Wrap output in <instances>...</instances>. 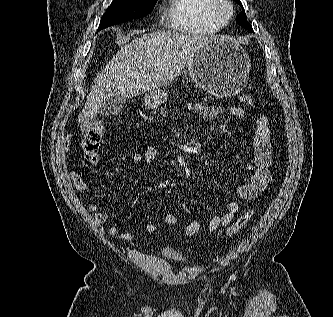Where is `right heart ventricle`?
<instances>
[{
	"label": "right heart ventricle",
	"instance_id": "obj_1",
	"mask_svg": "<svg viewBox=\"0 0 333 317\" xmlns=\"http://www.w3.org/2000/svg\"><path fill=\"white\" fill-rule=\"evenodd\" d=\"M212 0H169L164 18L169 29L188 35H210L226 23L216 19L211 11Z\"/></svg>",
	"mask_w": 333,
	"mask_h": 317
}]
</instances>
